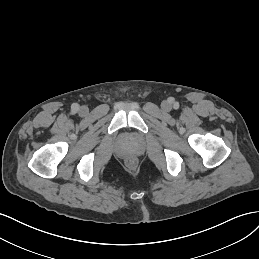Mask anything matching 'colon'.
<instances>
[{"label": "colon", "mask_w": 259, "mask_h": 259, "mask_svg": "<svg viewBox=\"0 0 259 259\" xmlns=\"http://www.w3.org/2000/svg\"><path fill=\"white\" fill-rule=\"evenodd\" d=\"M126 165L130 168H134L137 165V160L134 157H129L126 160Z\"/></svg>", "instance_id": "1"}]
</instances>
